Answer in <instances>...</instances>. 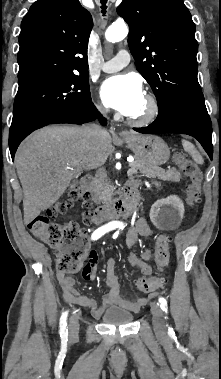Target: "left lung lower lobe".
Wrapping results in <instances>:
<instances>
[{
	"mask_svg": "<svg viewBox=\"0 0 221 379\" xmlns=\"http://www.w3.org/2000/svg\"><path fill=\"white\" fill-rule=\"evenodd\" d=\"M134 130L143 134L179 133L193 136L212 159V125L206 107L169 101L159 108L158 117L152 124Z\"/></svg>",
	"mask_w": 221,
	"mask_h": 379,
	"instance_id": "0a47b994",
	"label": "left lung lower lobe"
}]
</instances>
